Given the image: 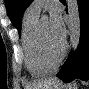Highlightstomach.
Listing matches in <instances>:
<instances>
[{"instance_id": "stomach-1", "label": "stomach", "mask_w": 89, "mask_h": 89, "mask_svg": "<svg viewBox=\"0 0 89 89\" xmlns=\"http://www.w3.org/2000/svg\"><path fill=\"white\" fill-rule=\"evenodd\" d=\"M51 89H63V86L61 84L54 85Z\"/></svg>"}]
</instances>
